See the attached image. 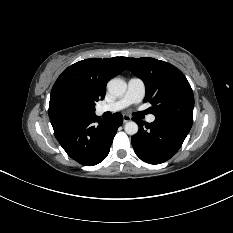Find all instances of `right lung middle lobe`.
Listing matches in <instances>:
<instances>
[{"instance_id": "dd1d6c3e", "label": "right lung middle lobe", "mask_w": 233, "mask_h": 233, "mask_svg": "<svg viewBox=\"0 0 233 233\" xmlns=\"http://www.w3.org/2000/svg\"><path fill=\"white\" fill-rule=\"evenodd\" d=\"M56 112L60 116H78L92 114L95 111L94 104L75 94H64L55 104Z\"/></svg>"}]
</instances>
